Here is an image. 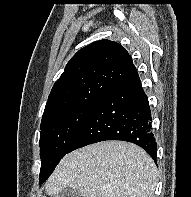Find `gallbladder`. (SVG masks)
Here are the masks:
<instances>
[{
	"label": "gallbladder",
	"instance_id": "1",
	"mask_svg": "<svg viewBox=\"0 0 191 197\" xmlns=\"http://www.w3.org/2000/svg\"><path fill=\"white\" fill-rule=\"evenodd\" d=\"M55 197H80V194L76 189L71 188V187H67V188L63 189Z\"/></svg>",
	"mask_w": 191,
	"mask_h": 197
}]
</instances>
